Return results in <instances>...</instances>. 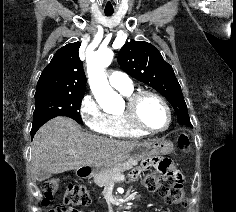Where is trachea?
Masks as SVG:
<instances>
[{"label":"trachea","mask_w":236,"mask_h":212,"mask_svg":"<svg viewBox=\"0 0 236 212\" xmlns=\"http://www.w3.org/2000/svg\"><path fill=\"white\" fill-rule=\"evenodd\" d=\"M113 14V12H105L106 16H111Z\"/></svg>","instance_id":"trachea-1"}]
</instances>
